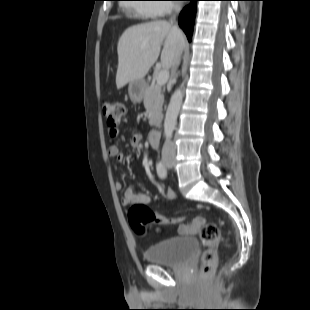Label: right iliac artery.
<instances>
[{
  "label": "right iliac artery",
  "mask_w": 310,
  "mask_h": 310,
  "mask_svg": "<svg viewBox=\"0 0 310 310\" xmlns=\"http://www.w3.org/2000/svg\"><path fill=\"white\" fill-rule=\"evenodd\" d=\"M157 174L160 178H165L167 175V169L162 161H159L156 166Z\"/></svg>",
  "instance_id": "obj_1"
}]
</instances>
